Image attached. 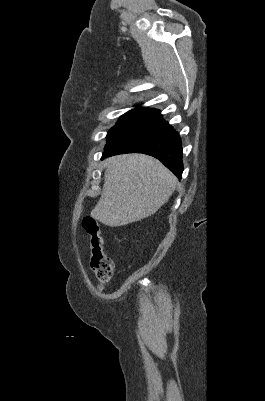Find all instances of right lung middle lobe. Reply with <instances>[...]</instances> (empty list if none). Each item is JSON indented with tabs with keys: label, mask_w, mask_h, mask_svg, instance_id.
<instances>
[{
	"label": "right lung middle lobe",
	"mask_w": 265,
	"mask_h": 401,
	"mask_svg": "<svg viewBox=\"0 0 265 401\" xmlns=\"http://www.w3.org/2000/svg\"><path fill=\"white\" fill-rule=\"evenodd\" d=\"M160 110L151 109L147 107H137L131 111L125 113L114 127H112L107 134V142L112 141L122 132L128 130L129 128L137 125L138 123L145 121L152 116L158 114Z\"/></svg>",
	"instance_id": "1"
}]
</instances>
